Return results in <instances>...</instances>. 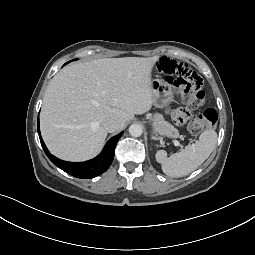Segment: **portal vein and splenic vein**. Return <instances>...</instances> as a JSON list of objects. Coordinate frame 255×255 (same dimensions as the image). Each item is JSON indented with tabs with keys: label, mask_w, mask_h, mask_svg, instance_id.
<instances>
[{
	"label": "portal vein and splenic vein",
	"mask_w": 255,
	"mask_h": 255,
	"mask_svg": "<svg viewBox=\"0 0 255 255\" xmlns=\"http://www.w3.org/2000/svg\"><path fill=\"white\" fill-rule=\"evenodd\" d=\"M174 145L175 146H180V143L177 140H174Z\"/></svg>",
	"instance_id": "1"
}]
</instances>
